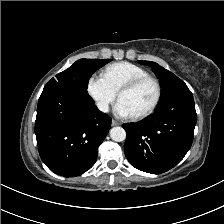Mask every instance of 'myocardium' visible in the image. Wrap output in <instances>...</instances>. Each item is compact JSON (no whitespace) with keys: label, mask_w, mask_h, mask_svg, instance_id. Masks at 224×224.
Here are the masks:
<instances>
[{"label":"myocardium","mask_w":224,"mask_h":224,"mask_svg":"<svg viewBox=\"0 0 224 224\" xmlns=\"http://www.w3.org/2000/svg\"><path fill=\"white\" fill-rule=\"evenodd\" d=\"M146 81H150L154 84L155 89H156L155 99H154L153 103L151 104V106L147 110H145L144 112H142L140 114L133 116V118L136 120H141V119L149 117L158 108L161 98H162V88H161L160 82L155 77H152L150 75L140 76V77H136V78L128 81L127 83H125L117 92V97L119 99L121 94L135 89L140 84H142L143 82H146Z\"/></svg>","instance_id":"myocardium-1"}]
</instances>
